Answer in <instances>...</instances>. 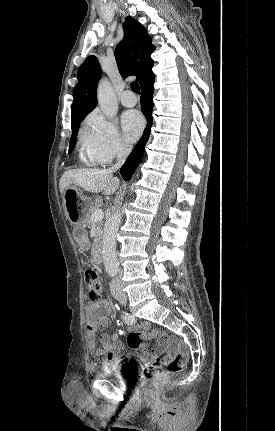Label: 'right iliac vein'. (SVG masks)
Masks as SVG:
<instances>
[{"label": "right iliac vein", "instance_id": "right-iliac-vein-1", "mask_svg": "<svg viewBox=\"0 0 275 431\" xmlns=\"http://www.w3.org/2000/svg\"><path fill=\"white\" fill-rule=\"evenodd\" d=\"M116 299L121 303H125V297L123 295H116Z\"/></svg>", "mask_w": 275, "mask_h": 431}]
</instances>
